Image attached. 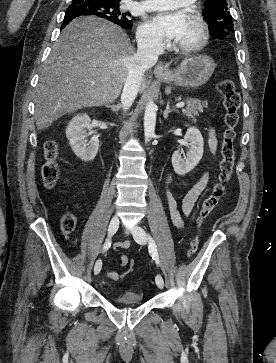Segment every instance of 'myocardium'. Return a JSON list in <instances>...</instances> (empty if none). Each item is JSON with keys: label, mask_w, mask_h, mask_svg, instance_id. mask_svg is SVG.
<instances>
[{"label": "myocardium", "mask_w": 276, "mask_h": 363, "mask_svg": "<svg viewBox=\"0 0 276 363\" xmlns=\"http://www.w3.org/2000/svg\"><path fill=\"white\" fill-rule=\"evenodd\" d=\"M190 18L195 22V24L199 28V38L196 42L191 44H186V45L176 44L175 48L183 54H193L199 52L205 47L209 39L208 25L204 20V18L196 12H191Z\"/></svg>", "instance_id": "1"}]
</instances>
